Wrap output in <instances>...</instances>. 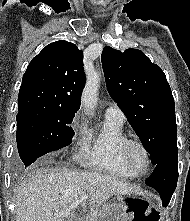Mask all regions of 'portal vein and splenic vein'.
<instances>
[{
	"instance_id": "obj_1",
	"label": "portal vein and splenic vein",
	"mask_w": 190,
	"mask_h": 221,
	"mask_svg": "<svg viewBox=\"0 0 190 221\" xmlns=\"http://www.w3.org/2000/svg\"><path fill=\"white\" fill-rule=\"evenodd\" d=\"M87 198H88V195L82 196L79 200H76V201L72 202L66 209H64L61 213L57 214L56 216L57 217H62V218L67 217L70 214L72 209L77 207L79 204H81Z\"/></svg>"
}]
</instances>
